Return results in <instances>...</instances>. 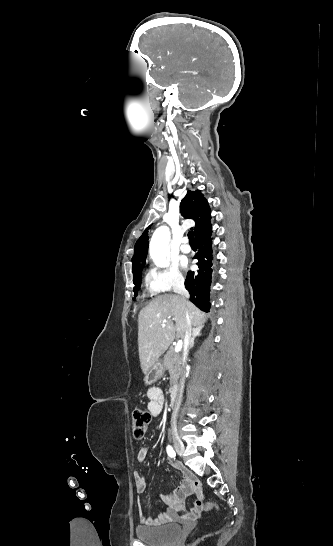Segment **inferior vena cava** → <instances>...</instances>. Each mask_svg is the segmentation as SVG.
<instances>
[{"instance_id": "602c4592", "label": "inferior vena cava", "mask_w": 333, "mask_h": 546, "mask_svg": "<svg viewBox=\"0 0 333 546\" xmlns=\"http://www.w3.org/2000/svg\"><path fill=\"white\" fill-rule=\"evenodd\" d=\"M173 289H174L175 293L183 296L184 298H189V293L185 289L183 281H176L174 283ZM192 330L193 329H192L191 323H190L189 319L187 318L186 319V325H185V334H184V352H185V354H187L188 349H189ZM184 382H185V371H183V373L181 375L179 394H178V398H177V400L175 402V406L173 408V412H172V416H171V430H172V432H175L176 429H177V416H178L179 408H180V405H181V397H182V393H183V389H184Z\"/></svg>"}]
</instances>
